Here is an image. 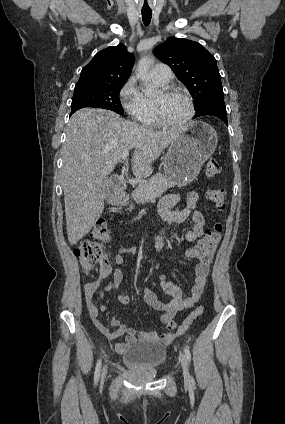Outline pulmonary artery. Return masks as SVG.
Wrapping results in <instances>:
<instances>
[{"instance_id": "obj_1", "label": "pulmonary artery", "mask_w": 285, "mask_h": 424, "mask_svg": "<svg viewBox=\"0 0 285 424\" xmlns=\"http://www.w3.org/2000/svg\"><path fill=\"white\" fill-rule=\"evenodd\" d=\"M152 73L155 80L162 85L168 84L172 78V71L169 66L165 64L155 65L152 69Z\"/></svg>"}]
</instances>
